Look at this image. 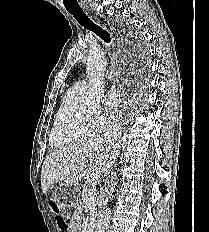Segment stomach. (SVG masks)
I'll return each instance as SVG.
<instances>
[{"label": "stomach", "mask_w": 209, "mask_h": 232, "mask_svg": "<svg viewBox=\"0 0 209 232\" xmlns=\"http://www.w3.org/2000/svg\"><path fill=\"white\" fill-rule=\"evenodd\" d=\"M84 190V186H74L73 182H64L63 186H58L55 189L53 201L61 210L73 207L77 204V199H81Z\"/></svg>", "instance_id": "obj_1"}]
</instances>
